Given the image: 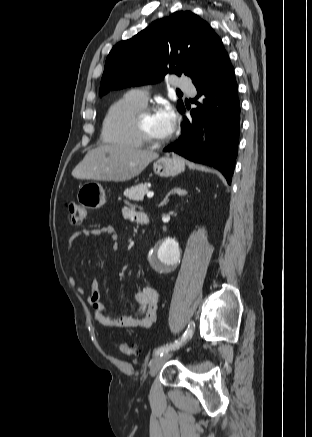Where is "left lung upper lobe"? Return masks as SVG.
I'll return each mask as SVG.
<instances>
[{
    "label": "left lung upper lobe",
    "instance_id": "obj_1",
    "mask_svg": "<svg viewBox=\"0 0 312 437\" xmlns=\"http://www.w3.org/2000/svg\"><path fill=\"white\" fill-rule=\"evenodd\" d=\"M223 51L221 39L206 21L190 11L175 12L113 47L105 62L100 96L113 89L155 83L167 74L187 75L195 84ZM178 109H184L181 100Z\"/></svg>",
    "mask_w": 312,
    "mask_h": 437
}]
</instances>
